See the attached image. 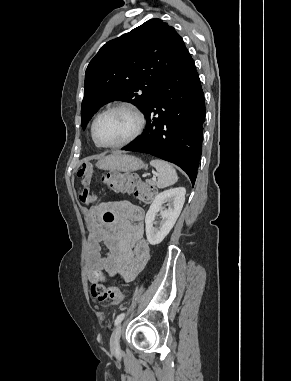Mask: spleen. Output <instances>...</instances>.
Wrapping results in <instances>:
<instances>
[{"label":"spleen","instance_id":"1","mask_svg":"<svg viewBox=\"0 0 291 381\" xmlns=\"http://www.w3.org/2000/svg\"><path fill=\"white\" fill-rule=\"evenodd\" d=\"M150 164L155 167L158 172V180L156 183L158 188H166L177 182L178 176L172 165L160 159H154Z\"/></svg>","mask_w":291,"mask_h":381}]
</instances>
